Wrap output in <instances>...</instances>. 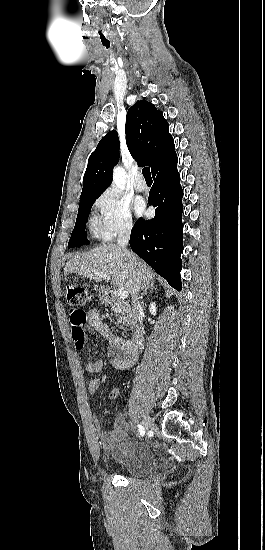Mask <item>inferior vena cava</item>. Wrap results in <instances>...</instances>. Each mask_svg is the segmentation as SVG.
Wrapping results in <instances>:
<instances>
[{"mask_svg": "<svg viewBox=\"0 0 265 550\" xmlns=\"http://www.w3.org/2000/svg\"><path fill=\"white\" fill-rule=\"evenodd\" d=\"M131 229H132L131 224L124 227L120 231L119 237H118V240H117L118 246L123 250L125 256L127 257V259L129 261L131 260V255H130L129 251L127 250V245H128L129 238H130ZM139 291H140V285H139L138 281L135 279L134 282H133V287H132V300H133V303H134V310L136 311L138 321L140 322V324H142V316H141L142 305L139 302Z\"/></svg>", "mask_w": 265, "mask_h": 550, "instance_id": "obj_1", "label": "inferior vena cava"}]
</instances>
